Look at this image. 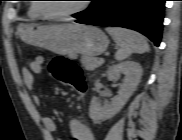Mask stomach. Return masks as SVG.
Here are the masks:
<instances>
[{
  "label": "stomach",
  "mask_w": 182,
  "mask_h": 140,
  "mask_svg": "<svg viewBox=\"0 0 182 140\" xmlns=\"http://www.w3.org/2000/svg\"><path fill=\"white\" fill-rule=\"evenodd\" d=\"M20 38L29 44L46 48L59 55L83 54L95 57L108 47L109 39L95 27L80 24L39 25L20 24L17 28Z\"/></svg>",
  "instance_id": "obj_1"
}]
</instances>
